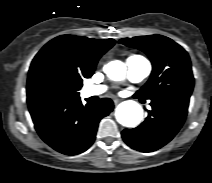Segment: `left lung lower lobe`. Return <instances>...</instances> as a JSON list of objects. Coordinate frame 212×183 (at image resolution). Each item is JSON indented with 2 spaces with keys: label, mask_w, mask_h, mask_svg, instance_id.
Instances as JSON below:
<instances>
[{
  "label": "left lung lower lobe",
  "mask_w": 212,
  "mask_h": 183,
  "mask_svg": "<svg viewBox=\"0 0 212 183\" xmlns=\"http://www.w3.org/2000/svg\"><path fill=\"white\" fill-rule=\"evenodd\" d=\"M148 117L134 129L122 131V138L130 147L141 152L155 151L167 144L183 125L189 99L153 98Z\"/></svg>",
  "instance_id": "obj_1"
}]
</instances>
